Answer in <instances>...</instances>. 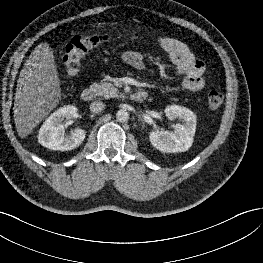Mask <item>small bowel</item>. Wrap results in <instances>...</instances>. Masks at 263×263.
<instances>
[{"label": "small bowel", "mask_w": 263, "mask_h": 263, "mask_svg": "<svg viewBox=\"0 0 263 263\" xmlns=\"http://www.w3.org/2000/svg\"><path fill=\"white\" fill-rule=\"evenodd\" d=\"M158 45L167 52L170 61L175 65V74L183 76L182 87L189 92H199L205 86L203 79L204 63L195 58L188 46L179 39L172 37H160ZM123 61L136 68L145 69V60L141 53L125 51L122 54Z\"/></svg>", "instance_id": "small-bowel-1"}]
</instances>
